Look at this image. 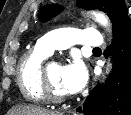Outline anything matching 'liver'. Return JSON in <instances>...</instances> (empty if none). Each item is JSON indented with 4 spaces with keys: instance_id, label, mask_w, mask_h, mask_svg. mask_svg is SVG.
Returning a JSON list of instances; mask_svg holds the SVG:
<instances>
[{
    "instance_id": "obj_1",
    "label": "liver",
    "mask_w": 131,
    "mask_h": 115,
    "mask_svg": "<svg viewBox=\"0 0 131 115\" xmlns=\"http://www.w3.org/2000/svg\"><path fill=\"white\" fill-rule=\"evenodd\" d=\"M9 114L13 115H58L55 112L43 110L40 107L35 106H18L12 110Z\"/></svg>"
}]
</instances>
